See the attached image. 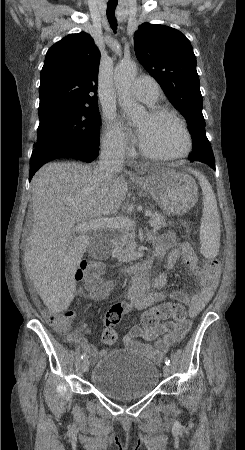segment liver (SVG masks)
Here are the masks:
<instances>
[{
    "label": "liver",
    "mask_w": 245,
    "mask_h": 450,
    "mask_svg": "<svg viewBox=\"0 0 245 450\" xmlns=\"http://www.w3.org/2000/svg\"><path fill=\"white\" fill-rule=\"evenodd\" d=\"M96 169L72 162L44 165L32 179L33 227L24 252L26 271L53 313L75 296L76 270L91 244L75 225L117 213L127 194L123 176L106 182Z\"/></svg>",
    "instance_id": "1"
}]
</instances>
